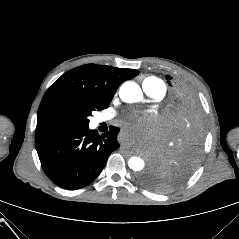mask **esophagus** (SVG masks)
I'll return each instance as SVG.
<instances>
[{
    "mask_svg": "<svg viewBox=\"0 0 239 239\" xmlns=\"http://www.w3.org/2000/svg\"><path fill=\"white\" fill-rule=\"evenodd\" d=\"M117 140L119 141V142H124L125 140H126V135L124 134V133H118V135H117Z\"/></svg>",
    "mask_w": 239,
    "mask_h": 239,
    "instance_id": "34e87169",
    "label": "esophagus"
}]
</instances>
